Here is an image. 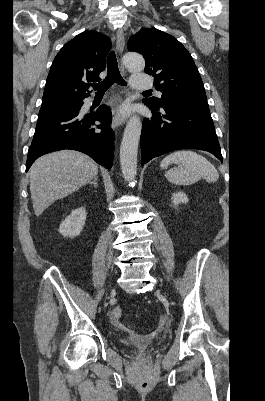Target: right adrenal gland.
I'll use <instances>...</instances> for the list:
<instances>
[{"instance_id":"obj_1","label":"right adrenal gland","mask_w":265,"mask_h":401,"mask_svg":"<svg viewBox=\"0 0 265 401\" xmlns=\"http://www.w3.org/2000/svg\"><path fill=\"white\" fill-rule=\"evenodd\" d=\"M97 178H98V176H95L94 180H91V182H89V184H93V186H95V188H97V186H98Z\"/></svg>"}]
</instances>
